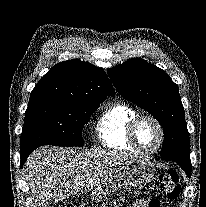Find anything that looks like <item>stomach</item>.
Instances as JSON below:
<instances>
[{"instance_id": "1", "label": "stomach", "mask_w": 206, "mask_h": 207, "mask_svg": "<svg viewBox=\"0 0 206 207\" xmlns=\"http://www.w3.org/2000/svg\"><path fill=\"white\" fill-rule=\"evenodd\" d=\"M154 173L153 163L148 159L139 158L102 185L101 197L115 194L127 186L145 185L153 179Z\"/></svg>"}]
</instances>
